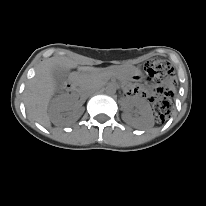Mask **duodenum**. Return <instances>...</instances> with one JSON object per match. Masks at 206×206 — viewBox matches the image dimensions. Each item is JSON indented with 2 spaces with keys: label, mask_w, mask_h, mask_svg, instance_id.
I'll return each mask as SVG.
<instances>
[{
  "label": "duodenum",
  "mask_w": 206,
  "mask_h": 206,
  "mask_svg": "<svg viewBox=\"0 0 206 206\" xmlns=\"http://www.w3.org/2000/svg\"><path fill=\"white\" fill-rule=\"evenodd\" d=\"M65 89L67 91H74L76 89V82L73 79H70L65 84Z\"/></svg>",
  "instance_id": "1"
}]
</instances>
